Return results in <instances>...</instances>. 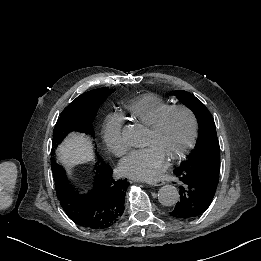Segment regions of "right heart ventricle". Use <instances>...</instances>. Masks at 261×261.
<instances>
[{"label": "right heart ventricle", "mask_w": 261, "mask_h": 261, "mask_svg": "<svg viewBox=\"0 0 261 261\" xmlns=\"http://www.w3.org/2000/svg\"><path fill=\"white\" fill-rule=\"evenodd\" d=\"M121 105L122 113H129L135 119L148 125L170 103L160 95L145 93L127 97L121 101Z\"/></svg>", "instance_id": "right-heart-ventricle-1"}]
</instances>
